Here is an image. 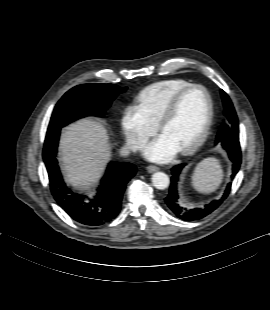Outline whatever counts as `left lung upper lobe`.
<instances>
[{"instance_id":"1","label":"left lung upper lobe","mask_w":270,"mask_h":310,"mask_svg":"<svg viewBox=\"0 0 270 310\" xmlns=\"http://www.w3.org/2000/svg\"><path fill=\"white\" fill-rule=\"evenodd\" d=\"M221 96L227 124L220 129L215 144L221 143L224 149L230 150L232 148L240 147L238 138V119L229 96L223 90H221Z\"/></svg>"}]
</instances>
